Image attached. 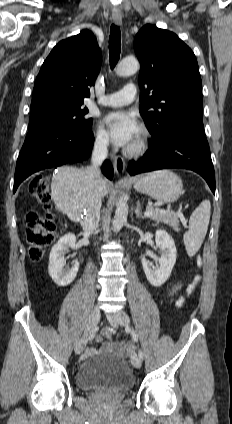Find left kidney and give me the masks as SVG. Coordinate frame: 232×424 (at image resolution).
<instances>
[{
  "label": "left kidney",
  "mask_w": 232,
  "mask_h": 424,
  "mask_svg": "<svg viewBox=\"0 0 232 424\" xmlns=\"http://www.w3.org/2000/svg\"><path fill=\"white\" fill-rule=\"evenodd\" d=\"M156 247L160 249L159 266L152 268L150 262L143 258L142 267L147 280L155 287H159L170 277L176 262V247L173 238L164 230L155 233Z\"/></svg>",
  "instance_id": "left-kidney-1"
}]
</instances>
